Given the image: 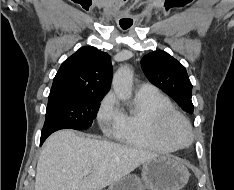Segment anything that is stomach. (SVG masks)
Segmentation results:
<instances>
[{"label":"stomach","mask_w":234,"mask_h":190,"mask_svg":"<svg viewBox=\"0 0 234 190\" xmlns=\"http://www.w3.org/2000/svg\"><path fill=\"white\" fill-rule=\"evenodd\" d=\"M189 171L176 157L158 155L143 164L141 179L126 175L108 190H181L189 180Z\"/></svg>","instance_id":"stomach-1"}]
</instances>
